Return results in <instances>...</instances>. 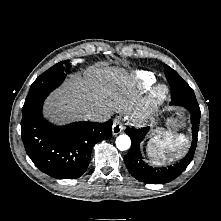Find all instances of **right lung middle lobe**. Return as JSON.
Instances as JSON below:
<instances>
[{
  "label": "right lung middle lobe",
  "instance_id": "1",
  "mask_svg": "<svg viewBox=\"0 0 221 221\" xmlns=\"http://www.w3.org/2000/svg\"><path fill=\"white\" fill-rule=\"evenodd\" d=\"M70 66L68 60L61 61L40 75L32 83L25 99L23 114L40 106L49 93L61 85L66 77V73L69 72Z\"/></svg>",
  "mask_w": 221,
  "mask_h": 221
}]
</instances>
